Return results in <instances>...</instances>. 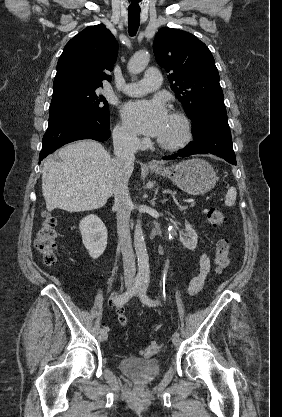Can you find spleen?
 Returning a JSON list of instances; mask_svg holds the SVG:
<instances>
[{"label":"spleen","mask_w":282,"mask_h":417,"mask_svg":"<svg viewBox=\"0 0 282 417\" xmlns=\"http://www.w3.org/2000/svg\"><path fill=\"white\" fill-rule=\"evenodd\" d=\"M235 200H236V188L235 186H230V188H228V192H226L225 204H227V206H232Z\"/></svg>","instance_id":"spleen-1"}]
</instances>
